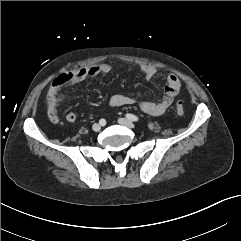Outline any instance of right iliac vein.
Masks as SVG:
<instances>
[{
    "mask_svg": "<svg viewBox=\"0 0 241 241\" xmlns=\"http://www.w3.org/2000/svg\"><path fill=\"white\" fill-rule=\"evenodd\" d=\"M92 129H93V131H95V132H99L100 129H101V126H100V124L95 123V124H93Z\"/></svg>",
    "mask_w": 241,
    "mask_h": 241,
    "instance_id": "63e3f726",
    "label": "right iliac vein"
}]
</instances>
